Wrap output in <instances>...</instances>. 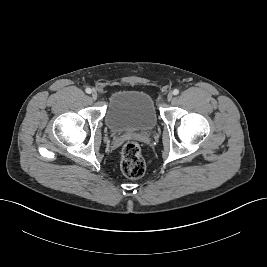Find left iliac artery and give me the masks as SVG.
I'll return each mask as SVG.
<instances>
[{
	"mask_svg": "<svg viewBox=\"0 0 267 267\" xmlns=\"http://www.w3.org/2000/svg\"><path fill=\"white\" fill-rule=\"evenodd\" d=\"M173 94H174V95H178V94H179V90H178V89H174V90H173Z\"/></svg>",
	"mask_w": 267,
	"mask_h": 267,
	"instance_id": "left-iliac-artery-1",
	"label": "left iliac artery"
}]
</instances>
